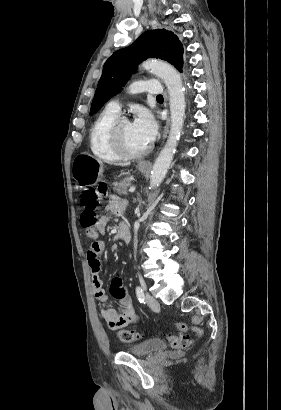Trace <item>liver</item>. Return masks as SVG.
I'll return each mask as SVG.
<instances>
[{
	"mask_svg": "<svg viewBox=\"0 0 281 410\" xmlns=\"http://www.w3.org/2000/svg\"><path fill=\"white\" fill-rule=\"evenodd\" d=\"M120 166H128L129 165V163H121V164H119Z\"/></svg>",
	"mask_w": 281,
	"mask_h": 410,
	"instance_id": "obj_1",
	"label": "liver"
}]
</instances>
